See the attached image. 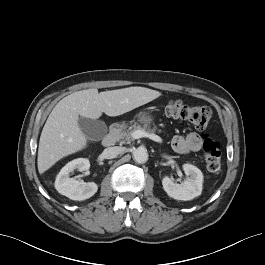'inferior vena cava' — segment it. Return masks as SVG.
Segmentation results:
<instances>
[{"label": "inferior vena cava", "instance_id": "inferior-vena-cava-1", "mask_svg": "<svg viewBox=\"0 0 265 265\" xmlns=\"http://www.w3.org/2000/svg\"><path fill=\"white\" fill-rule=\"evenodd\" d=\"M122 153V148L118 146L109 147L104 149L102 155L106 159H113Z\"/></svg>", "mask_w": 265, "mask_h": 265}]
</instances>
